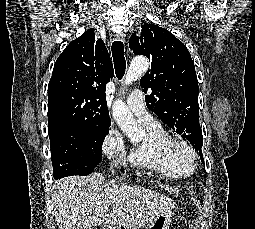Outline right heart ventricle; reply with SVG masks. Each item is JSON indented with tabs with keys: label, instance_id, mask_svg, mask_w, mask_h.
<instances>
[{
	"label": "right heart ventricle",
	"instance_id": "obj_1",
	"mask_svg": "<svg viewBox=\"0 0 255 229\" xmlns=\"http://www.w3.org/2000/svg\"><path fill=\"white\" fill-rule=\"evenodd\" d=\"M145 128L147 137L139 144H133L129 150L127 158L132 165L173 178L187 176L193 171L191 167L172 165L157 152L155 146L157 140L166 135L161 125Z\"/></svg>",
	"mask_w": 255,
	"mask_h": 229
}]
</instances>
